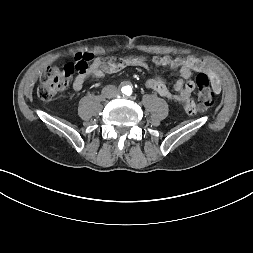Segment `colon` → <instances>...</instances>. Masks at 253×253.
Returning <instances> with one entry per match:
<instances>
[{"label":"colon","mask_w":253,"mask_h":253,"mask_svg":"<svg viewBox=\"0 0 253 253\" xmlns=\"http://www.w3.org/2000/svg\"><path fill=\"white\" fill-rule=\"evenodd\" d=\"M91 54H83L74 62L61 64L47 69L40 78L37 95L42 100H50L65 89L71 78L87 72ZM196 85L199 89L198 111L207 108L211 103V87L207 75L200 72L196 77Z\"/></svg>","instance_id":"obj_1"}]
</instances>
